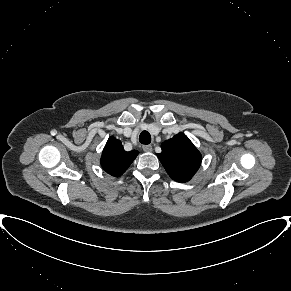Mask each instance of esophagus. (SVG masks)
I'll use <instances>...</instances> for the list:
<instances>
[{"label":"esophagus","mask_w":291,"mask_h":291,"mask_svg":"<svg viewBox=\"0 0 291 291\" xmlns=\"http://www.w3.org/2000/svg\"><path fill=\"white\" fill-rule=\"evenodd\" d=\"M142 148H143V150L145 152H151L152 151V146L151 145H144Z\"/></svg>","instance_id":"1"}]
</instances>
